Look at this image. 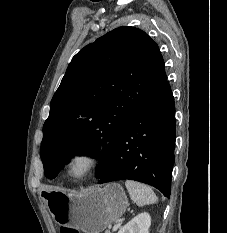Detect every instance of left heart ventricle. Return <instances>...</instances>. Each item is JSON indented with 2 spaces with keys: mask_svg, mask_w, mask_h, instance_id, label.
I'll return each instance as SVG.
<instances>
[{
  "mask_svg": "<svg viewBox=\"0 0 227 233\" xmlns=\"http://www.w3.org/2000/svg\"><path fill=\"white\" fill-rule=\"evenodd\" d=\"M86 168V163L82 160L77 161L73 166V173L78 175L81 174Z\"/></svg>",
  "mask_w": 227,
  "mask_h": 233,
  "instance_id": "1",
  "label": "left heart ventricle"
}]
</instances>
